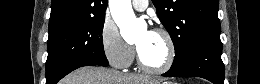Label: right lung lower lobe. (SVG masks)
<instances>
[{
    "label": "right lung lower lobe",
    "instance_id": "1",
    "mask_svg": "<svg viewBox=\"0 0 260 84\" xmlns=\"http://www.w3.org/2000/svg\"><path fill=\"white\" fill-rule=\"evenodd\" d=\"M94 65H97V64H94V63H83V64H80V65H78V66H75V67H73V68L67 70V71L61 76V78H63L65 75H67L68 73H70L71 71H73V70H75V69H77V68H79V67H82V66H94ZM61 78H60V79H61ZM60 79H59V80H60ZM59 80H58V81H59Z\"/></svg>",
    "mask_w": 260,
    "mask_h": 84
}]
</instances>
